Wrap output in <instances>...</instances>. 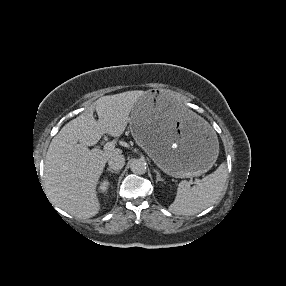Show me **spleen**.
<instances>
[{"instance_id": "1", "label": "spleen", "mask_w": 286, "mask_h": 286, "mask_svg": "<svg viewBox=\"0 0 286 286\" xmlns=\"http://www.w3.org/2000/svg\"><path fill=\"white\" fill-rule=\"evenodd\" d=\"M227 178L226 164L204 177L198 185L190 186L183 180L177 188V195L169 210L177 215H194L213 205L221 195Z\"/></svg>"}]
</instances>
